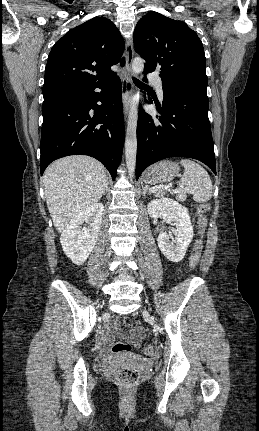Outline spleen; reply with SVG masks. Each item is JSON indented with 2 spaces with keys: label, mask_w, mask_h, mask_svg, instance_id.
<instances>
[{
  "label": "spleen",
  "mask_w": 259,
  "mask_h": 431,
  "mask_svg": "<svg viewBox=\"0 0 259 431\" xmlns=\"http://www.w3.org/2000/svg\"><path fill=\"white\" fill-rule=\"evenodd\" d=\"M180 163L184 167V174L179 181L177 199L183 201L187 193H192L195 202L209 201L212 197V181L208 172L190 159H182Z\"/></svg>",
  "instance_id": "obj_1"
}]
</instances>
